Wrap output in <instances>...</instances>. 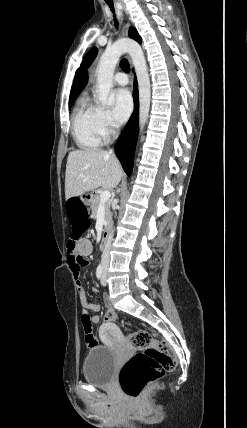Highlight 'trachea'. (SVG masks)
Here are the masks:
<instances>
[{
  "mask_svg": "<svg viewBox=\"0 0 247 428\" xmlns=\"http://www.w3.org/2000/svg\"><path fill=\"white\" fill-rule=\"evenodd\" d=\"M107 4H108V6L110 7L111 11L114 13V6H113V3H112V2H107ZM114 21H115V26L117 27V26H118V23H117L116 18H114ZM120 66H121V68H122V70H123L124 72L129 73V71H130V66H129V63H128V61H127L126 59H122V60H121V62H120Z\"/></svg>",
  "mask_w": 247,
  "mask_h": 428,
  "instance_id": "1",
  "label": "trachea"
}]
</instances>
